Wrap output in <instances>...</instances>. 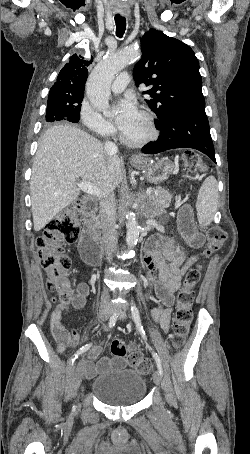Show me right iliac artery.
Returning <instances> with one entry per match:
<instances>
[{"instance_id": "obj_1", "label": "right iliac artery", "mask_w": 250, "mask_h": 454, "mask_svg": "<svg viewBox=\"0 0 250 454\" xmlns=\"http://www.w3.org/2000/svg\"><path fill=\"white\" fill-rule=\"evenodd\" d=\"M116 319H117V314L114 313L112 315V317L110 318L109 320V323H108V326L109 328H112L115 323H116ZM91 347V344L88 343L86 344L85 346H82L70 359V365H73L74 361L76 358H78L79 355L83 354L84 352H86L89 348Z\"/></svg>"}]
</instances>
